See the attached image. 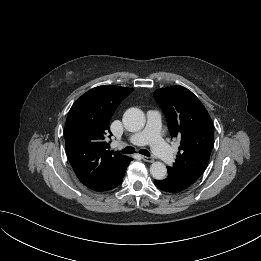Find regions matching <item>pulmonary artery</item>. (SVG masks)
I'll use <instances>...</instances> for the list:
<instances>
[{"mask_svg": "<svg viewBox=\"0 0 261 261\" xmlns=\"http://www.w3.org/2000/svg\"><path fill=\"white\" fill-rule=\"evenodd\" d=\"M161 116L158 111L147 113V124L142 131L130 136L129 141L134 145L150 144L153 152L165 164L173 162V154L161 137Z\"/></svg>", "mask_w": 261, "mask_h": 261, "instance_id": "pulmonary-artery-1", "label": "pulmonary artery"}]
</instances>
